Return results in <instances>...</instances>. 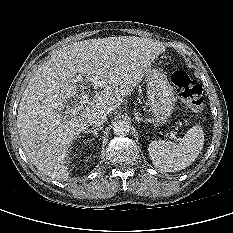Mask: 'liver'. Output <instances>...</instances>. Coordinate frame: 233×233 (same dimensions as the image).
<instances>
[{"instance_id":"liver-1","label":"liver","mask_w":233,"mask_h":233,"mask_svg":"<svg viewBox=\"0 0 233 233\" xmlns=\"http://www.w3.org/2000/svg\"><path fill=\"white\" fill-rule=\"evenodd\" d=\"M164 49L155 40L119 36L75 42L53 53L30 79L18 108V133L29 161L41 174L66 181L69 147L87 130L88 116L118 109ZM77 74L102 90L83 110L64 115L79 92Z\"/></svg>"}]
</instances>
